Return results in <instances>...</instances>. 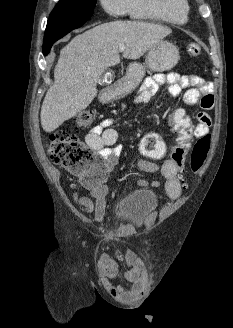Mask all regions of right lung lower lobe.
Here are the masks:
<instances>
[{
    "label": "right lung lower lobe",
    "mask_w": 233,
    "mask_h": 328,
    "mask_svg": "<svg viewBox=\"0 0 233 328\" xmlns=\"http://www.w3.org/2000/svg\"><path fill=\"white\" fill-rule=\"evenodd\" d=\"M90 17H50L45 31L43 54L46 56L53 43L82 26Z\"/></svg>",
    "instance_id": "98d812e1"
}]
</instances>
